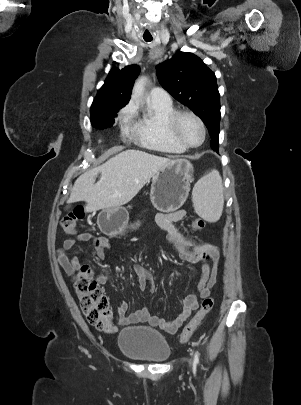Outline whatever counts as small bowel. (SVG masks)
Masks as SVG:
<instances>
[{
  "label": "small bowel",
  "mask_w": 301,
  "mask_h": 405,
  "mask_svg": "<svg viewBox=\"0 0 301 405\" xmlns=\"http://www.w3.org/2000/svg\"><path fill=\"white\" fill-rule=\"evenodd\" d=\"M186 217L184 209L172 213H159L156 217L157 223L167 231V240L174 246L179 257L189 263L202 262V272L197 285V294H189L182 300L181 312L172 320H165L158 316L151 315L147 308H142L127 314L128 304L122 301L117 308V321L121 325L130 323L146 322L152 326H158L168 333H174L198 307L199 300L208 297L216 283L217 266L219 260V249L217 246L207 243H198L193 239L182 235L174 225ZM79 242H91L94 248V256L97 260L103 261L106 257L105 251L111 244L105 236H95L90 233H80L73 238L63 242L62 248L57 251V259L62 268L68 274L80 269V263L75 256L69 257L65 251L73 249ZM134 271L138 278L139 287L144 290L150 285L153 291V275L142 265H135ZM110 274H101L96 278L100 285L110 281Z\"/></svg>",
  "instance_id": "1"
}]
</instances>
